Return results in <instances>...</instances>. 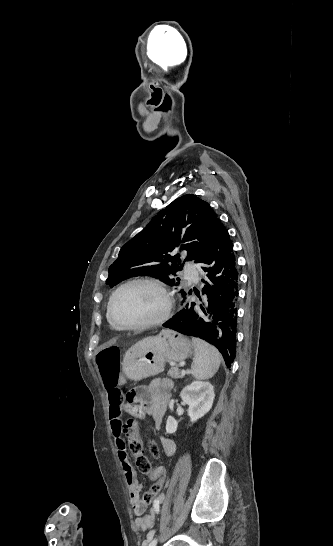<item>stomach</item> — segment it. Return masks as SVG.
<instances>
[{"mask_svg":"<svg viewBox=\"0 0 333 546\" xmlns=\"http://www.w3.org/2000/svg\"><path fill=\"white\" fill-rule=\"evenodd\" d=\"M191 341L171 330H162L156 336H148L134 344L124 355L122 371L127 378L139 381L155 376L164 370L168 361L185 360L192 353Z\"/></svg>","mask_w":333,"mask_h":546,"instance_id":"1","label":"stomach"}]
</instances>
